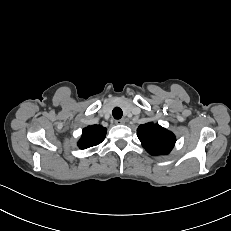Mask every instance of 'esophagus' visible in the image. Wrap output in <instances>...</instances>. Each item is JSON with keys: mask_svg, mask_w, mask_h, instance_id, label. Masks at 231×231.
Listing matches in <instances>:
<instances>
[{"mask_svg": "<svg viewBox=\"0 0 231 231\" xmlns=\"http://www.w3.org/2000/svg\"><path fill=\"white\" fill-rule=\"evenodd\" d=\"M114 123H115L116 125H122V124L125 123V120H124V119L115 120Z\"/></svg>", "mask_w": 231, "mask_h": 231, "instance_id": "esophagus-1", "label": "esophagus"}]
</instances>
